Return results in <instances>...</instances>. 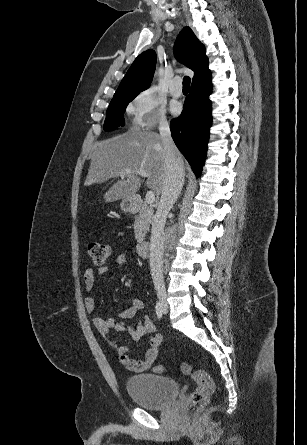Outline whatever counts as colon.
<instances>
[{"instance_id":"5ec220e1","label":"colon","mask_w":307,"mask_h":445,"mask_svg":"<svg viewBox=\"0 0 307 445\" xmlns=\"http://www.w3.org/2000/svg\"><path fill=\"white\" fill-rule=\"evenodd\" d=\"M88 253L94 265L103 266L110 255V247L103 243H90L88 245ZM154 371L162 373L164 367L157 365ZM180 371L184 375H190L197 383V388L191 393L188 399V407L190 409L203 407L214 392V382L212 378L204 370L193 368L189 362H183L180 366Z\"/></svg>"}]
</instances>
